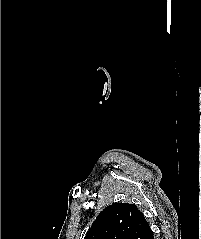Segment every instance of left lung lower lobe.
<instances>
[{
	"label": "left lung lower lobe",
	"instance_id": "1",
	"mask_svg": "<svg viewBox=\"0 0 201 239\" xmlns=\"http://www.w3.org/2000/svg\"><path fill=\"white\" fill-rule=\"evenodd\" d=\"M147 239H154V234H153L152 230L150 231Z\"/></svg>",
	"mask_w": 201,
	"mask_h": 239
}]
</instances>
